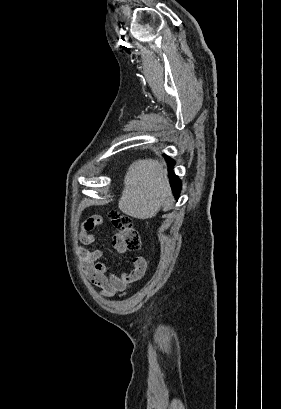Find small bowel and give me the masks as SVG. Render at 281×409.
Listing matches in <instances>:
<instances>
[{
  "label": "small bowel",
  "instance_id": "obj_1",
  "mask_svg": "<svg viewBox=\"0 0 281 409\" xmlns=\"http://www.w3.org/2000/svg\"><path fill=\"white\" fill-rule=\"evenodd\" d=\"M103 226L104 221L100 215H89L87 222H81L80 224L81 243L83 245L94 243V235H101ZM112 244L114 252L123 251L124 247L121 238L115 236ZM77 254L82 267L87 272L88 278L93 284L100 288L101 296L106 298L124 294L131 283L139 282L141 277L146 273L147 264L142 257L134 258L133 270L130 273H123L121 276H117L113 273L107 274L106 266L101 262L103 258L101 250H88L84 247H78Z\"/></svg>",
  "mask_w": 281,
  "mask_h": 409
}]
</instances>
